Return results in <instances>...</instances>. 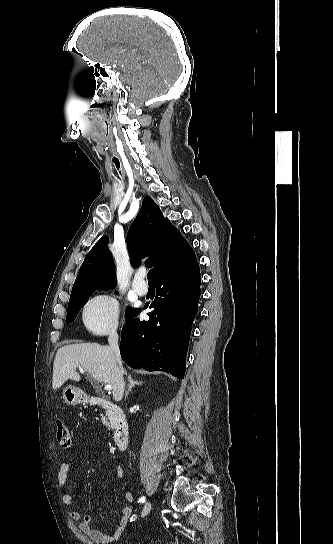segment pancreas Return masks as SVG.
<instances>
[{
  "label": "pancreas",
  "mask_w": 333,
  "mask_h": 544,
  "mask_svg": "<svg viewBox=\"0 0 333 544\" xmlns=\"http://www.w3.org/2000/svg\"><path fill=\"white\" fill-rule=\"evenodd\" d=\"M108 418H109V416H108ZM101 420H102L103 424H104L106 427H108V429L111 428L110 423L107 421V418H106L105 416H102Z\"/></svg>",
  "instance_id": "cf45deb5"
}]
</instances>
